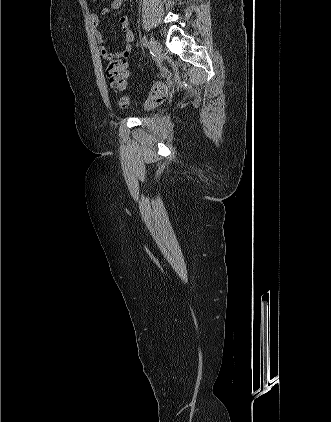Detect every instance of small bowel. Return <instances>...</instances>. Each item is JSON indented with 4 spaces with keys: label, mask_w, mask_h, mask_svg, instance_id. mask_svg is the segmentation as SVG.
<instances>
[{
    "label": "small bowel",
    "mask_w": 331,
    "mask_h": 422,
    "mask_svg": "<svg viewBox=\"0 0 331 422\" xmlns=\"http://www.w3.org/2000/svg\"><path fill=\"white\" fill-rule=\"evenodd\" d=\"M123 2L124 0H112L109 8H103L100 14L92 13L90 15V22L96 35L97 42L99 44L101 57L104 61L107 62L116 58L123 59L124 61H126V59L130 56L132 52V42L134 41L135 34L133 30L129 27L128 18L126 16H122L120 18L125 42V48L120 52L113 53L108 49V47L106 46L107 40L103 37L100 28V15H106L109 14L111 11L119 10L122 7Z\"/></svg>",
    "instance_id": "c3829d8e"
}]
</instances>
